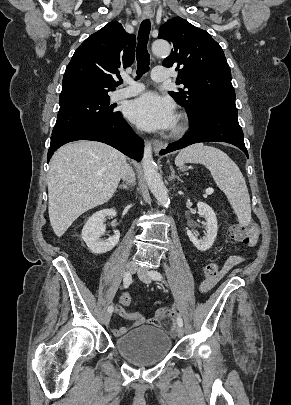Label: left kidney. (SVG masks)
Returning <instances> with one entry per match:
<instances>
[{
	"label": "left kidney",
	"mask_w": 291,
	"mask_h": 405,
	"mask_svg": "<svg viewBox=\"0 0 291 405\" xmlns=\"http://www.w3.org/2000/svg\"><path fill=\"white\" fill-rule=\"evenodd\" d=\"M198 214L206 220V234L202 239L197 238L191 230H187V236L193 245L200 251H206L214 243L217 236V218L213 209L204 202H198Z\"/></svg>",
	"instance_id": "obj_1"
}]
</instances>
